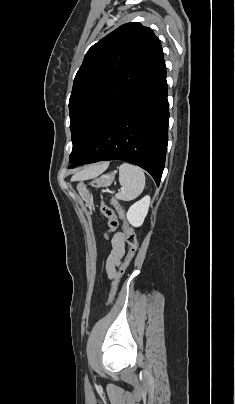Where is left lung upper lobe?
I'll return each mask as SVG.
<instances>
[{
	"instance_id": "1",
	"label": "left lung upper lobe",
	"mask_w": 235,
	"mask_h": 404,
	"mask_svg": "<svg viewBox=\"0 0 235 404\" xmlns=\"http://www.w3.org/2000/svg\"><path fill=\"white\" fill-rule=\"evenodd\" d=\"M162 60L159 39L138 22L120 26L88 50L69 100L72 164L121 102Z\"/></svg>"
}]
</instances>
